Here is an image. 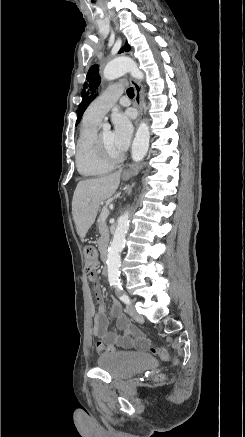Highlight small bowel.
I'll return each mask as SVG.
<instances>
[{"label":"small bowel","instance_id":"1","mask_svg":"<svg viewBox=\"0 0 245 437\" xmlns=\"http://www.w3.org/2000/svg\"><path fill=\"white\" fill-rule=\"evenodd\" d=\"M87 279L93 284L95 298L98 303L93 318V334L118 346L144 349L148 345V340L131 326L129 319L122 312L121 305L116 300H112L110 311L111 314L117 317V323L115 327H110L107 317L108 309L98 276L90 274Z\"/></svg>","mask_w":245,"mask_h":437}]
</instances>
